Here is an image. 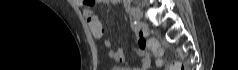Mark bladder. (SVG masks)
Here are the masks:
<instances>
[{"instance_id":"1","label":"bladder","mask_w":238,"mask_h":70,"mask_svg":"<svg viewBox=\"0 0 238 70\" xmlns=\"http://www.w3.org/2000/svg\"><path fill=\"white\" fill-rule=\"evenodd\" d=\"M113 70H119V69L114 68Z\"/></svg>"}]
</instances>
